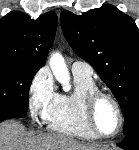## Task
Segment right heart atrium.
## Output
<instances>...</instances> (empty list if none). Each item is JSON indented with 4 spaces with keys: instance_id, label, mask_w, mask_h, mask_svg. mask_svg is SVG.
Returning <instances> with one entry per match:
<instances>
[{
    "instance_id": "obj_1",
    "label": "right heart atrium",
    "mask_w": 139,
    "mask_h": 150,
    "mask_svg": "<svg viewBox=\"0 0 139 150\" xmlns=\"http://www.w3.org/2000/svg\"><path fill=\"white\" fill-rule=\"evenodd\" d=\"M55 95L52 80L45 70H39L33 76L29 87V110L31 116L36 120L44 118V114Z\"/></svg>"
}]
</instances>
